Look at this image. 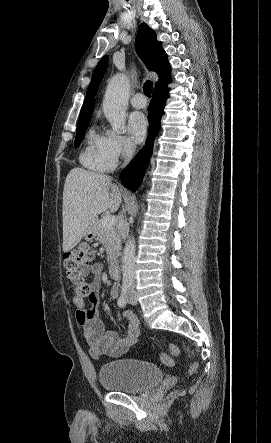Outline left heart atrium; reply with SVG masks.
<instances>
[{
  "instance_id": "left-heart-atrium-1",
  "label": "left heart atrium",
  "mask_w": 271,
  "mask_h": 443,
  "mask_svg": "<svg viewBox=\"0 0 271 443\" xmlns=\"http://www.w3.org/2000/svg\"><path fill=\"white\" fill-rule=\"evenodd\" d=\"M128 124L134 142L141 143L148 132V122L145 115L140 111L132 112L129 115Z\"/></svg>"
}]
</instances>
